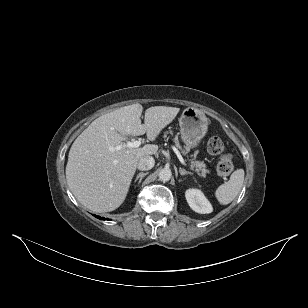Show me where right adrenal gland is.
I'll return each instance as SVG.
<instances>
[{"instance_id": "1", "label": "right adrenal gland", "mask_w": 308, "mask_h": 308, "mask_svg": "<svg viewBox=\"0 0 308 308\" xmlns=\"http://www.w3.org/2000/svg\"><path fill=\"white\" fill-rule=\"evenodd\" d=\"M147 174H148L147 172H146V173L140 172V173L136 176L134 182H136V181L139 179V184H140L141 181H142V179H143V177H145Z\"/></svg>"}]
</instances>
